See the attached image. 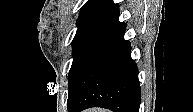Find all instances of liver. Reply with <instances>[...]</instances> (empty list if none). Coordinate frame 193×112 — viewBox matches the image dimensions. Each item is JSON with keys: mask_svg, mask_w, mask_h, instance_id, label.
I'll use <instances>...</instances> for the list:
<instances>
[{"mask_svg": "<svg viewBox=\"0 0 193 112\" xmlns=\"http://www.w3.org/2000/svg\"><path fill=\"white\" fill-rule=\"evenodd\" d=\"M86 112H107V111L101 108H92V109L86 110Z\"/></svg>", "mask_w": 193, "mask_h": 112, "instance_id": "liver-1", "label": "liver"}]
</instances>
